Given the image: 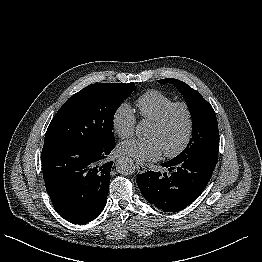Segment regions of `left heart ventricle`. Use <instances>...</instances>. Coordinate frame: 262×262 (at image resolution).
<instances>
[{"mask_svg":"<svg viewBox=\"0 0 262 262\" xmlns=\"http://www.w3.org/2000/svg\"><path fill=\"white\" fill-rule=\"evenodd\" d=\"M187 131V115L181 108L176 109L166 126L159 128L152 124L148 137L159 141L164 152L176 149L183 141Z\"/></svg>","mask_w":262,"mask_h":262,"instance_id":"1","label":"left heart ventricle"}]
</instances>
